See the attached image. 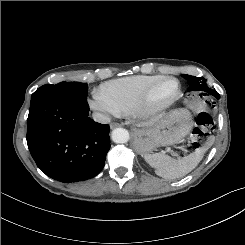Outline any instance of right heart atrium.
Listing matches in <instances>:
<instances>
[{"instance_id":"d8ad5b80","label":"right heart atrium","mask_w":245,"mask_h":245,"mask_svg":"<svg viewBox=\"0 0 245 245\" xmlns=\"http://www.w3.org/2000/svg\"><path fill=\"white\" fill-rule=\"evenodd\" d=\"M87 104L101 121H108L111 117L120 115L117 108L99 91H95L92 94L87 100Z\"/></svg>"}]
</instances>
